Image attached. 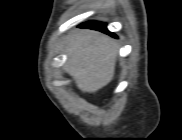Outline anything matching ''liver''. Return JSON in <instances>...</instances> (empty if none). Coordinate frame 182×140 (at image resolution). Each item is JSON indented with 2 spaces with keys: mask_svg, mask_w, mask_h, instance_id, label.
<instances>
[{
  "mask_svg": "<svg viewBox=\"0 0 182 140\" xmlns=\"http://www.w3.org/2000/svg\"><path fill=\"white\" fill-rule=\"evenodd\" d=\"M66 52L64 70L82 92H96L112 80L117 46L110 37L82 30L69 38Z\"/></svg>",
  "mask_w": 182,
  "mask_h": 140,
  "instance_id": "obj_1",
  "label": "liver"
}]
</instances>
